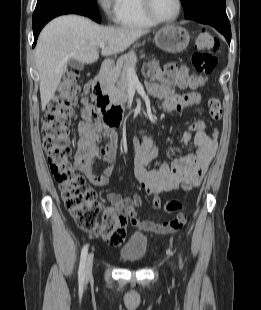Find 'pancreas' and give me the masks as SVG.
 Returning a JSON list of instances; mask_svg holds the SVG:
<instances>
[{"label":"pancreas","mask_w":261,"mask_h":310,"mask_svg":"<svg viewBox=\"0 0 261 310\" xmlns=\"http://www.w3.org/2000/svg\"><path fill=\"white\" fill-rule=\"evenodd\" d=\"M137 57L134 52H130L120 57L105 78L106 91L110 95L113 103L125 104L128 99L127 89L129 84L128 68H135Z\"/></svg>","instance_id":"pancreas-1"}]
</instances>
